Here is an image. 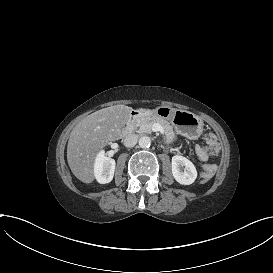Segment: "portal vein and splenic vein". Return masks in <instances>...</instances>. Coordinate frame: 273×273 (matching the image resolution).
<instances>
[{"instance_id":"obj_1","label":"portal vein and splenic vein","mask_w":273,"mask_h":273,"mask_svg":"<svg viewBox=\"0 0 273 273\" xmlns=\"http://www.w3.org/2000/svg\"><path fill=\"white\" fill-rule=\"evenodd\" d=\"M152 131L154 132L159 131L161 134H164V129L158 123L153 124Z\"/></svg>"}]
</instances>
